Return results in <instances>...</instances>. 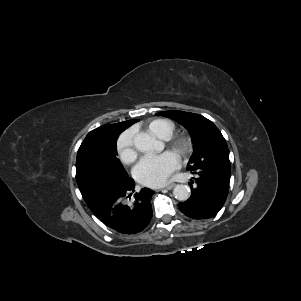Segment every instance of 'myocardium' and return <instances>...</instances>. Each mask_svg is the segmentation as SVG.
I'll return each instance as SVG.
<instances>
[{
    "label": "myocardium",
    "mask_w": 301,
    "mask_h": 301,
    "mask_svg": "<svg viewBox=\"0 0 301 301\" xmlns=\"http://www.w3.org/2000/svg\"><path fill=\"white\" fill-rule=\"evenodd\" d=\"M172 147L183 158L188 157L193 149L192 141L185 136L176 138L172 142Z\"/></svg>",
    "instance_id": "f54148a6"
}]
</instances>
